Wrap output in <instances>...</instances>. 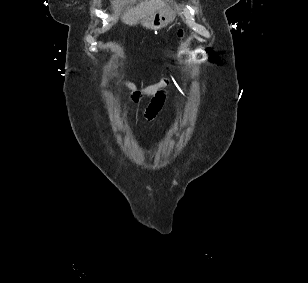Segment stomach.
Instances as JSON below:
<instances>
[{"mask_svg":"<svg viewBox=\"0 0 308 283\" xmlns=\"http://www.w3.org/2000/svg\"><path fill=\"white\" fill-rule=\"evenodd\" d=\"M175 18V11L169 6L157 11L151 16L137 20L130 25L141 24L146 29L160 30L172 23Z\"/></svg>","mask_w":308,"mask_h":283,"instance_id":"0dacf381","label":"stomach"}]
</instances>
